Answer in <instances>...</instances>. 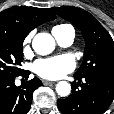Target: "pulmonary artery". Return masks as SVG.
Wrapping results in <instances>:
<instances>
[{"label": "pulmonary artery", "instance_id": "obj_1", "mask_svg": "<svg viewBox=\"0 0 114 114\" xmlns=\"http://www.w3.org/2000/svg\"><path fill=\"white\" fill-rule=\"evenodd\" d=\"M54 37L56 38L57 42L61 46H69L72 44L75 36L74 29L71 26L66 27L61 31H52Z\"/></svg>", "mask_w": 114, "mask_h": 114}]
</instances>
